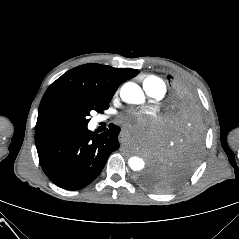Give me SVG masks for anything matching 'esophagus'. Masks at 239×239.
<instances>
[{
  "mask_svg": "<svg viewBox=\"0 0 239 239\" xmlns=\"http://www.w3.org/2000/svg\"><path fill=\"white\" fill-rule=\"evenodd\" d=\"M117 139H118V141H120V142H123V141H125V139H126V136H125V134H123V133H118V135H117Z\"/></svg>",
  "mask_w": 239,
  "mask_h": 239,
  "instance_id": "1",
  "label": "esophagus"
}]
</instances>
